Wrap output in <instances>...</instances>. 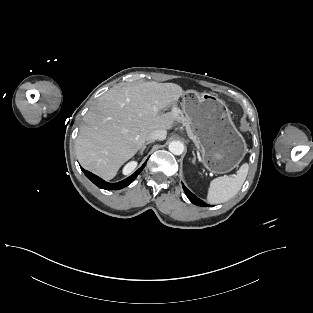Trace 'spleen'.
I'll list each match as a JSON object with an SVG mask.
<instances>
[{
  "mask_svg": "<svg viewBox=\"0 0 313 313\" xmlns=\"http://www.w3.org/2000/svg\"><path fill=\"white\" fill-rule=\"evenodd\" d=\"M249 170L247 163L243 164L233 177L222 176L210 182L207 194L209 204H220L230 200L241 189Z\"/></svg>",
  "mask_w": 313,
  "mask_h": 313,
  "instance_id": "spleen-1",
  "label": "spleen"
}]
</instances>
